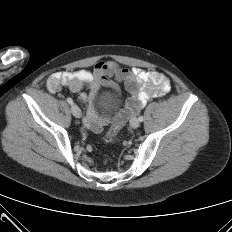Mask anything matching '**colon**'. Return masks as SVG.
I'll list each match as a JSON object with an SVG mask.
<instances>
[{"label":"colon","instance_id":"colon-1","mask_svg":"<svg viewBox=\"0 0 232 232\" xmlns=\"http://www.w3.org/2000/svg\"><path fill=\"white\" fill-rule=\"evenodd\" d=\"M120 128H121L120 124H116V125L112 126L111 128H109V130L106 132L105 140L108 143L113 142L117 138V135H118Z\"/></svg>","mask_w":232,"mask_h":232}]
</instances>
